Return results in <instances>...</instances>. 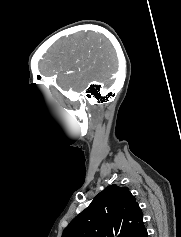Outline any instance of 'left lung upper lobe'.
Returning a JSON list of instances; mask_svg holds the SVG:
<instances>
[{
	"mask_svg": "<svg viewBox=\"0 0 181 237\" xmlns=\"http://www.w3.org/2000/svg\"><path fill=\"white\" fill-rule=\"evenodd\" d=\"M142 211L128 188L107 186L64 229L62 237H138Z\"/></svg>",
	"mask_w": 181,
	"mask_h": 237,
	"instance_id": "5c2ea615",
	"label": "left lung upper lobe"
}]
</instances>
